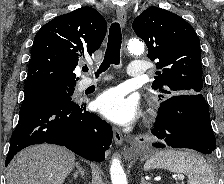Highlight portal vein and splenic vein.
Segmentation results:
<instances>
[{
  "instance_id": "obj_1",
  "label": "portal vein and splenic vein",
  "mask_w": 224,
  "mask_h": 184,
  "mask_svg": "<svg viewBox=\"0 0 224 184\" xmlns=\"http://www.w3.org/2000/svg\"><path fill=\"white\" fill-rule=\"evenodd\" d=\"M177 179H178L179 181H182V180L184 179V176H183V175H178V176H177Z\"/></svg>"
}]
</instances>
